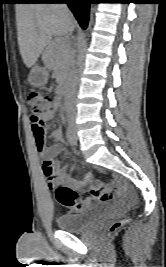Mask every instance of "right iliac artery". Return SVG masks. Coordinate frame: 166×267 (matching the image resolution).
<instances>
[{"label":"right iliac artery","instance_id":"1","mask_svg":"<svg viewBox=\"0 0 166 267\" xmlns=\"http://www.w3.org/2000/svg\"><path fill=\"white\" fill-rule=\"evenodd\" d=\"M66 133H67L68 142L71 145L75 144L74 135H73V133L71 131L70 125H68Z\"/></svg>","mask_w":166,"mask_h":267}]
</instances>
